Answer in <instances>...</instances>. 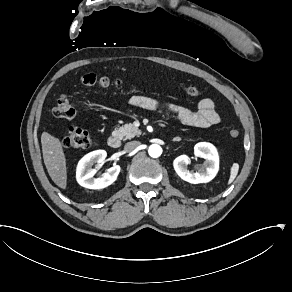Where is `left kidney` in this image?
Listing matches in <instances>:
<instances>
[{"instance_id": "1", "label": "left kidney", "mask_w": 292, "mask_h": 292, "mask_svg": "<svg viewBox=\"0 0 292 292\" xmlns=\"http://www.w3.org/2000/svg\"><path fill=\"white\" fill-rule=\"evenodd\" d=\"M194 154L196 157L206 160L203 168L198 172L189 171L187 165L191 162L190 158L187 155H181L173 162L176 173L183 180L193 184L211 181L219 170V155L217 149L211 143L200 142L195 145Z\"/></svg>"}]
</instances>
